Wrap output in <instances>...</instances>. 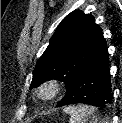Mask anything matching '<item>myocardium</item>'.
<instances>
[{"label": "myocardium", "mask_w": 122, "mask_h": 123, "mask_svg": "<svg viewBox=\"0 0 122 123\" xmlns=\"http://www.w3.org/2000/svg\"><path fill=\"white\" fill-rule=\"evenodd\" d=\"M63 84L56 78L44 81L38 88V96L41 100L50 102L57 99L63 92Z\"/></svg>", "instance_id": "1"}]
</instances>
